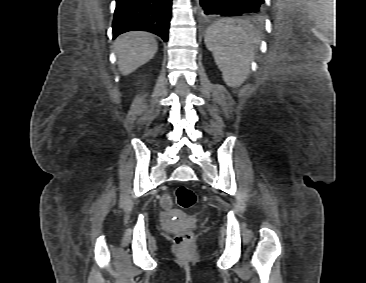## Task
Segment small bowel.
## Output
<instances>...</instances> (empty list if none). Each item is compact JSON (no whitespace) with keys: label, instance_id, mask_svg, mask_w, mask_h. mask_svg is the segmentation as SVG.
Returning a JSON list of instances; mask_svg holds the SVG:
<instances>
[{"label":"small bowel","instance_id":"1","mask_svg":"<svg viewBox=\"0 0 366 283\" xmlns=\"http://www.w3.org/2000/svg\"><path fill=\"white\" fill-rule=\"evenodd\" d=\"M163 202L165 205H168L169 204V198L167 196H164L163 197Z\"/></svg>","mask_w":366,"mask_h":283}]
</instances>
